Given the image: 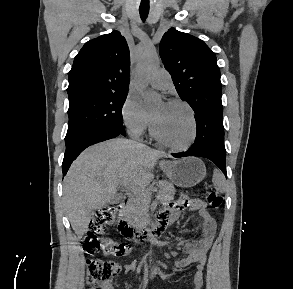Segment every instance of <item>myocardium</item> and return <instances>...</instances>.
Returning <instances> with one entry per match:
<instances>
[{"label": "myocardium", "mask_w": 293, "mask_h": 289, "mask_svg": "<svg viewBox=\"0 0 293 289\" xmlns=\"http://www.w3.org/2000/svg\"><path fill=\"white\" fill-rule=\"evenodd\" d=\"M169 103L181 105L188 110V112L190 114V118H191V123H192V131H191V136H190L189 140L184 144H174V143H170V142L162 139L156 130V126H155L154 121H152V123H151V135L162 146H165V147L173 149V150H178V151L188 150L189 148H191L194 145V143L196 142L197 136H198V124H197L195 112H194L193 108L191 107V105L184 100L172 99Z\"/></svg>", "instance_id": "1"}]
</instances>
